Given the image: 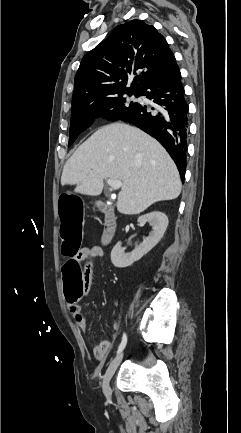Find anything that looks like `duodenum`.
<instances>
[{
    "label": "duodenum",
    "mask_w": 241,
    "mask_h": 433,
    "mask_svg": "<svg viewBox=\"0 0 241 433\" xmlns=\"http://www.w3.org/2000/svg\"><path fill=\"white\" fill-rule=\"evenodd\" d=\"M98 208L104 212L105 214V227L102 236V241L104 244H108L114 236L116 230V218L113 211L105 206L104 204L99 203Z\"/></svg>",
    "instance_id": "duodenum-1"
}]
</instances>
